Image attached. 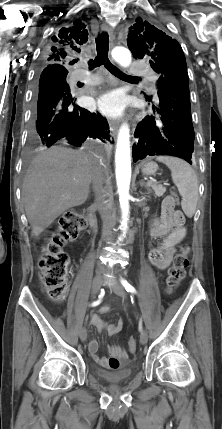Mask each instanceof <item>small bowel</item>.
Segmentation results:
<instances>
[{"label":"small bowel","mask_w":222,"mask_h":429,"mask_svg":"<svg viewBox=\"0 0 222 429\" xmlns=\"http://www.w3.org/2000/svg\"><path fill=\"white\" fill-rule=\"evenodd\" d=\"M149 232L153 238L162 239L149 253L150 263L159 270L166 269L176 252V245L186 236L185 217L179 210H175L174 204L164 201L159 216H153L149 222ZM189 249H185L187 254ZM109 312V307L105 305L101 309V314ZM91 324L98 331H106L109 335H115L121 332L123 320L119 319L116 323H105L101 316L94 315L91 318ZM98 342L91 339L88 343V350L92 359L101 367L107 369H119L129 362V356L126 350L116 344L108 346L109 356L98 355Z\"/></svg>","instance_id":"obj_1"}]
</instances>
